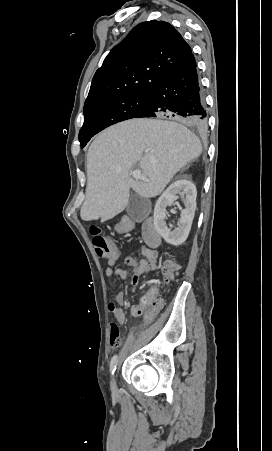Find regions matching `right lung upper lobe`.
Instances as JSON below:
<instances>
[{
  "instance_id": "cb5924a9",
  "label": "right lung upper lobe",
  "mask_w": 272,
  "mask_h": 451,
  "mask_svg": "<svg viewBox=\"0 0 272 451\" xmlns=\"http://www.w3.org/2000/svg\"><path fill=\"white\" fill-rule=\"evenodd\" d=\"M192 55L188 43L169 23H140L96 71L84 111L110 99L150 94Z\"/></svg>"
}]
</instances>
